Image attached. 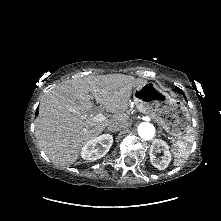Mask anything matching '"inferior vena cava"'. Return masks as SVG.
I'll return each instance as SVG.
<instances>
[{"label": "inferior vena cava", "instance_id": "inferior-vena-cava-1", "mask_svg": "<svg viewBox=\"0 0 221 221\" xmlns=\"http://www.w3.org/2000/svg\"><path fill=\"white\" fill-rule=\"evenodd\" d=\"M128 125H125V124H123V123H112V124H110L108 127H107V129L108 130H110V131H119V130H121V129H124V128H126Z\"/></svg>", "mask_w": 221, "mask_h": 221}]
</instances>
